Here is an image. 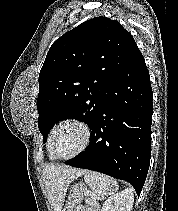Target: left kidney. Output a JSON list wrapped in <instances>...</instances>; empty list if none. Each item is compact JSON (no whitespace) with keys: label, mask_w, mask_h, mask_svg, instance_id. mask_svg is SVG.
Wrapping results in <instances>:
<instances>
[{"label":"left kidney","mask_w":178,"mask_h":211,"mask_svg":"<svg viewBox=\"0 0 178 211\" xmlns=\"http://www.w3.org/2000/svg\"><path fill=\"white\" fill-rule=\"evenodd\" d=\"M133 191L129 188L109 197L104 202L101 211H131L134 202Z\"/></svg>","instance_id":"5707ae66"}]
</instances>
